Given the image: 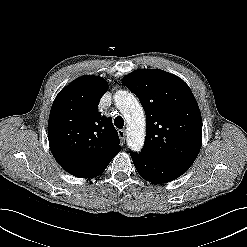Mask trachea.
I'll return each mask as SVG.
<instances>
[{
    "mask_svg": "<svg viewBox=\"0 0 247 247\" xmlns=\"http://www.w3.org/2000/svg\"><path fill=\"white\" fill-rule=\"evenodd\" d=\"M114 125L118 128V129H122L124 126V120L121 116H117L114 119Z\"/></svg>",
    "mask_w": 247,
    "mask_h": 247,
    "instance_id": "trachea-1",
    "label": "trachea"
}]
</instances>
